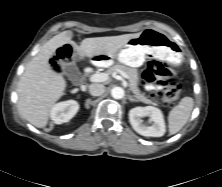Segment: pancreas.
Returning <instances> with one entry per match:
<instances>
[{"label": "pancreas", "mask_w": 222, "mask_h": 187, "mask_svg": "<svg viewBox=\"0 0 222 187\" xmlns=\"http://www.w3.org/2000/svg\"><path fill=\"white\" fill-rule=\"evenodd\" d=\"M125 72L128 75L129 80V86L130 90L133 92L136 100L141 101L145 104H151V105H157L155 102L151 101L150 99L146 98L144 94L141 93V91L138 88V71L135 68H130L125 65L116 64L113 65L108 69V73H114V72Z\"/></svg>", "instance_id": "pancreas-1"}]
</instances>
